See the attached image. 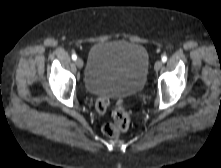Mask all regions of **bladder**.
I'll list each match as a JSON object with an SVG mask.
<instances>
[{"label":"bladder","mask_w":221,"mask_h":168,"mask_svg":"<svg viewBox=\"0 0 221 168\" xmlns=\"http://www.w3.org/2000/svg\"><path fill=\"white\" fill-rule=\"evenodd\" d=\"M149 55L145 47L127 41L100 42L88 56L86 89L110 97H124L141 91L147 81Z\"/></svg>","instance_id":"1"}]
</instances>
